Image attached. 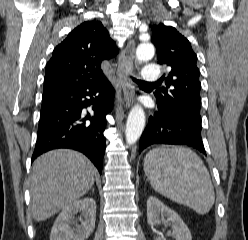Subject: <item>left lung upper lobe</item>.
Listing matches in <instances>:
<instances>
[{
    "label": "left lung upper lobe",
    "instance_id": "left-lung-upper-lobe-1",
    "mask_svg": "<svg viewBox=\"0 0 248 240\" xmlns=\"http://www.w3.org/2000/svg\"><path fill=\"white\" fill-rule=\"evenodd\" d=\"M151 30L158 63L170 69L168 77H162L166 88L155 92L158 108L176 113L200 114V73L196 65L197 55L189 41L174 27L162 23L151 26Z\"/></svg>",
    "mask_w": 248,
    "mask_h": 240
}]
</instances>
